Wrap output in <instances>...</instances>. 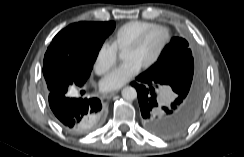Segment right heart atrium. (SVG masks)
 Segmentation results:
<instances>
[{"label": "right heart atrium", "instance_id": "right-heart-atrium-1", "mask_svg": "<svg viewBox=\"0 0 244 157\" xmlns=\"http://www.w3.org/2000/svg\"><path fill=\"white\" fill-rule=\"evenodd\" d=\"M118 51L113 43L104 41L99 46L95 61L94 69L98 75L107 74L117 63Z\"/></svg>", "mask_w": 244, "mask_h": 157}]
</instances>
